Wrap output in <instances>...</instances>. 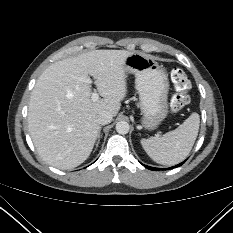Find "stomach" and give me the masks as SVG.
<instances>
[{
  "label": "stomach",
  "instance_id": "stomach-1",
  "mask_svg": "<svg viewBox=\"0 0 233 233\" xmlns=\"http://www.w3.org/2000/svg\"><path fill=\"white\" fill-rule=\"evenodd\" d=\"M125 70L135 75L144 128L156 129L168 114L169 81L165 69L146 54L132 53L125 60Z\"/></svg>",
  "mask_w": 233,
  "mask_h": 233
}]
</instances>
